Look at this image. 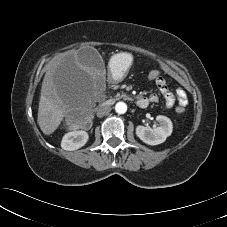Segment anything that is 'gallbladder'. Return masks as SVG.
Segmentation results:
<instances>
[{"label":"gallbladder","instance_id":"obj_1","mask_svg":"<svg viewBox=\"0 0 227 227\" xmlns=\"http://www.w3.org/2000/svg\"><path fill=\"white\" fill-rule=\"evenodd\" d=\"M79 59L84 66L94 68L95 72L101 74L105 67L99 52L91 47L83 48L78 53Z\"/></svg>","mask_w":227,"mask_h":227}]
</instances>
